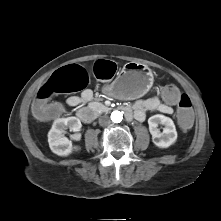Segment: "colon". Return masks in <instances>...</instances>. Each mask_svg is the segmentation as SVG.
Segmentation results:
<instances>
[{"label":"colon","mask_w":221,"mask_h":221,"mask_svg":"<svg viewBox=\"0 0 221 221\" xmlns=\"http://www.w3.org/2000/svg\"><path fill=\"white\" fill-rule=\"evenodd\" d=\"M116 73V64L108 60H99L94 65V74L98 79H111ZM89 82V76L79 65H69L57 70L40 88L34 103V117L40 123L49 113L63 114L59 104H48L47 100L55 94L70 93L84 89ZM160 100L167 106L178 105V129L187 133L194 126L191 100L181 89L173 84L164 85L159 92Z\"/></svg>","instance_id":"5ec220e1"}]
</instances>
